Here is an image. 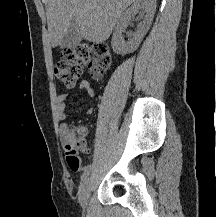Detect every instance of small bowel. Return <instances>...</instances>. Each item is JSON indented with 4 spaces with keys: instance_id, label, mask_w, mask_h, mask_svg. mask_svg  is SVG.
Here are the masks:
<instances>
[{
    "instance_id": "small-bowel-1",
    "label": "small bowel",
    "mask_w": 216,
    "mask_h": 217,
    "mask_svg": "<svg viewBox=\"0 0 216 217\" xmlns=\"http://www.w3.org/2000/svg\"><path fill=\"white\" fill-rule=\"evenodd\" d=\"M78 87L90 99L94 98L95 92H94V89H93V87L89 81H87V80L81 81ZM67 97H68V94L63 93V94L59 95L58 99H57V116L61 121H64L67 117L66 106H65V102H66ZM91 112H92V108L88 107L87 113L90 114ZM80 133L83 136H88L90 132H89V129L87 127L82 126L80 128ZM71 134H72V129H71L70 123L69 122H63L60 126V137H61L62 143L64 144V147H66L67 140L70 138Z\"/></svg>"
}]
</instances>
